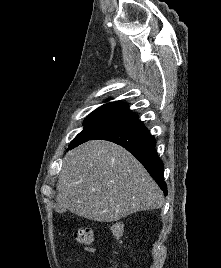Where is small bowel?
Here are the masks:
<instances>
[{
  "mask_svg": "<svg viewBox=\"0 0 221 268\" xmlns=\"http://www.w3.org/2000/svg\"><path fill=\"white\" fill-rule=\"evenodd\" d=\"M85 250H86L88 253H93V252H94V248H92V247H86Z\"/></svg>",
  "mask_w": 221,
  "mask_h": 268,
  "instance_id": "small-bowel-1",
  "label": "small bowel"
}]
</instances>
